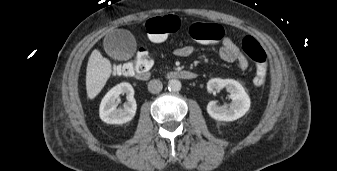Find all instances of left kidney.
Returning <instances> with one entry per match:
<instances>
[{"instance_id":"left-kidney-1","label":"left kidney","mask_w":337,"mask_h":171,"mask_svg":"<svg viewBox=\"0 0 337 171\" xmlns=\"http://www.w3.org/2000/svg\"><path fill=\"white\" fill-rule=\"evenodd\" d=\"M223 88H226L227 92L230 93L229 98L232 102L226 107L218 106L216 101H210L207 105V112L210 117L218 121L237 120L250 109V98L243 86L236 80L213 78L207 83V89L212 93Z\"/></svg>"}]
</instances>
